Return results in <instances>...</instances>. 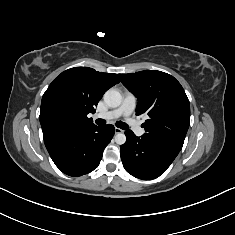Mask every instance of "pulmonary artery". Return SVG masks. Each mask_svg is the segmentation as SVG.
<instances>
[{"label":"pulmonary artery","mask_w":235,"mask_h":235,"mask_svg":"<svg viewBox=\"0 0 235 235\" xmlns=\"http://www.w3.org/2000/svg\"><path fill=\"white\" fill-rule=\"evenodd\" d=\"M135 106H136L135 96L127 92L124 95L122 104L118 108L108 111L106 113L96 114L95 117L109 120L123 116L126 118L127 122L129 123L130 127L133 129L135 134L141 136L144 133L143 129L140 127L137 121L130 118V115L134 111Z\"/></svg>","instance_id":"obj_1"}]
</instances>
